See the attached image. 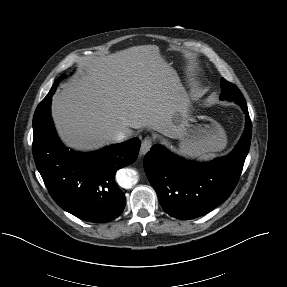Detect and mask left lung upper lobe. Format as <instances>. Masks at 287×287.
Listing matches in <instances>:
<instances>
[{
  "instance_id": "5c2ea615",
  "label": "left lung upper lobe",
  "mask_w": 287,
  "mask_h": 287,
  "mask_svg": "<svg viewBox=\"0 0 287 287\" xmlns=\"http://www.w3.org/2000/svg\"><path fill=\"white\" fill-rule=\"evenodd\" d=\"M221 88H222V92L220 95L221 99L235 101L236 103L245 102L241 91L235 85L226 81L224 78H221Z\"/></svg>"
}]
</instances>
